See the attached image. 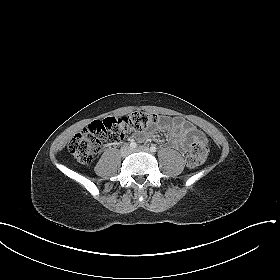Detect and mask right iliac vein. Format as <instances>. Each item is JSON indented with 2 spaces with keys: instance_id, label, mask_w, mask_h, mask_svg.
I'll use <instances>...</instances> for the list:
<instances>
[{
  "instance_id": "obj_1",
  "label": "right iliac vein",
  "mask_w": 280,
  "mask_h": 280,
  "mask_svg": "<svg viewBox=\"0 0 280 280\" xmlns=\"http://www.w3.org/2000/svg\"><path fill=\"white\" fill-rule=\"evenodd\" d=\"M130 152H131V148L127 145L123 146L121 149L122 156H126V155L130 154Z\"/></svg>"
}]
</instances>
